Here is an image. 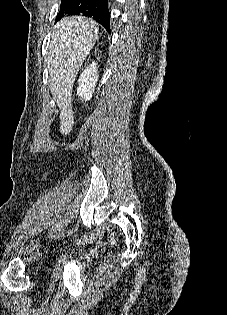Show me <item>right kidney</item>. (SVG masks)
Segmentation results:
<instances>
[{
	"label": "right kidney",
	"instance_id": "obj_1",
	"mask_svg": "<svg viewBox=\"0 0 227 315\" xmlns=\"http://www.w3.org/2000/svg\"><path fill=\"white\" fill-rule=\"evenodd\" d=\"M97 79V65L93 62L84 69L79 77L77 95L86 101L90 100L92 98Z\"/></svg>",
	"mask_w": 227,
	"mask_h": 315
}]
</instances>
